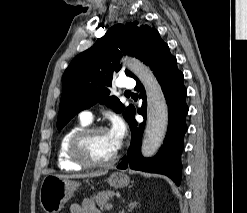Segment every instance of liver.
Returning <instances> with one entry per match:
<instances>
[{"label":"liver","mask_w":247,"mask_h":213,"mask_svg":"<svg viewBox=\"0 0 247 213\" xmlns=\"http://www.w3.org/2000/svg\"><path fill=\"white\" fill-rule=\"evenodd\" d=\"M106 171H98V172H91L87 174H71V175H57L58 177L64 178V179H74V178H87V177H98L105 175Z\"/></svg>","instance_id":"1"}]
</instances>
